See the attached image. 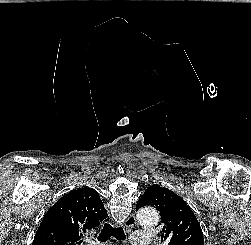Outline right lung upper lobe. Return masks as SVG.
<instances>
[{"mask_svg": "<svg viewBox=\"0 0 251 245\" xmlns=\"http://www.w3.org/2000/svg\"><path fill=\"white\" fill-rule=\"evenodd\" d=\"M103 220H107V212L96 190H72L49 208L32 245H76L83 232Z\"/></svg>", "mask_w": 251, "mask_h": 245, "instance_id": "right-lung-upper-lobe-1", "label": "right lung upper lobe"}]
</instances>
